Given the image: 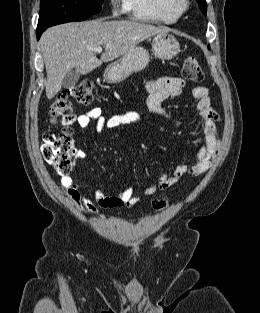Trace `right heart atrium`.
<instances>
[{
	"mask_svg": "<svg viewBox=\"0 0 260 313\" xmlns=\"http://www.w3.org/2000/svg\"><path fill=\"white\" fill-rule=\"evenodd\" d=\"M120 1L122 0H110V6L114 13H118L120 11Z\"/></svg>",
	"mask_w": 260,
	"mask_h": 313,
	"instance_id": "1",
	"label": "right heart atrium"
}]
</instances>
